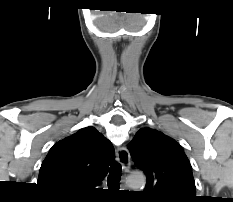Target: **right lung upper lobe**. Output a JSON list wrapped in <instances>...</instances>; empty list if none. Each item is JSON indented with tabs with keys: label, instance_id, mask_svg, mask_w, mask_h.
Instances as JSON below:
<instances>
[{
	"label": "right lung upper lobe",
	"instance_id": "right-lung-upper-lobe-1",
	"mask_svg": "<svg viewBox=\"0 0 233 202\" xmlns=\"http://www.w3.org/2000/svg\"><path fill=\"white\" fill-rule=\"evenodd\" d=\"M114 148L94 127L56 143L43 161L38 184L57 196H83L104 179Z\"/></svg>",
	"mask_w": 233,
	"mask_h": 202
}]
</instances>
